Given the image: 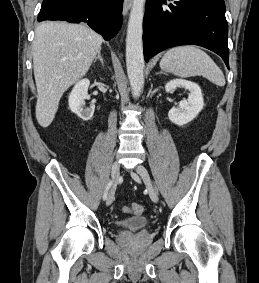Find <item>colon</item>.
<instances>
[{
	"instance_id": "obj_1",
	"label": "colon",
	"mask_w": 259,
	"mask_h": 283,
	"mask_svg": "<svg viewBox=\"0 0 259 283\" xmlns=\"http://www.w3.org/2000/svg\"><path fill=\"white\" fill-rule=\"evenodd\" d=\"M125 210L135 215H141L144 212V206L139 203H133L130 206L126 207Z\"/></svg>"
}]
</instances>
